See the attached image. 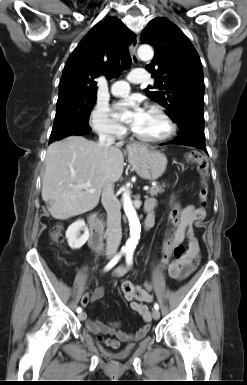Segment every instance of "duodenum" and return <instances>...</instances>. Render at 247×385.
<instances>
[{
	"mask_svg": "<svg viewBox=\"0 0 247 385\" xmlns=\"http://www.w3.org/2000/svg\"><path fill=\"white\" fill-rule=\"evenodd\" d=\"M90 226L89 245L96 250H100L103 246V228L101 222L98 220L96 214L92 213L88 217ZM154 215L148 214L144 221V228L151 229L154 226Z\"/></svg>",
	"mask_w": 247,
	"mask_h": 385,
	"instance_id": "410a0bca",
	"label": "duodenum"
}]
</instances>
